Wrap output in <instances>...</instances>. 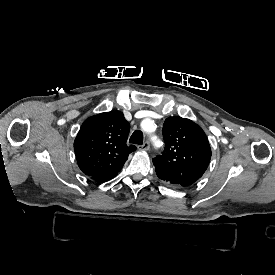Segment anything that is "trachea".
I'll list each match as a JSON object with an SVG mask.
<instances>
[{"label":"trachea","instance_id":"trachea-1","mask_svg":"<svg viewBox=\"0 0 275 275\" xmlns=\"http://www.w3.org/2000/svg\"><path fill=\"white\" fill-rule=\"evenodd\" d=\"M129 142L132 143V144L142 145L143 144V134H142V132L139 131V130L134 131L133 134L130 137Z\"/></svg>","mask_w":275,"mask_h":275}]
</instances>
